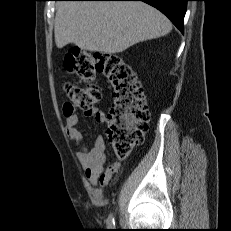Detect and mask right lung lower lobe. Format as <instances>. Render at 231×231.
Returning <instances> with one entry per match:
<instances>
[{
    "mask_svg": "<svg viewBox=\"0 0 231 231\" xmlns=\"http://www.w3.org/2000/svg\"><path fill=\"white\" fill-rule=\"evenodd\" d=\"M85 1H143L164 13L183 33V20L188 0H85Z\"/></svg>",
    "mask_w": 231,
    "mask_h": 231,
    "instance_id": "98d812e1",
    "label": "right lung lower lobe"
}]
</instances>
